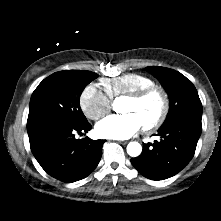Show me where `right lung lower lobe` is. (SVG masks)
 <instances>
[{
    "label": "right lung lower lobe",
    "mask_w": 221,
    "mask_h": 221,
    "mask_svg": "<svg viewBox=\"0 0 221 221\" xmlns=\"http://www.w3.org/2000/svg\"><path fill=\"white\" fill-rule=\"evenodd\" d=\"M90 123L51 122L28 133L33 155L46 173L71 183L87 177L98 165L104 140L75 139Z\"/></svg>",
    "instance_id": "98d812e1"
}]
</instances>
